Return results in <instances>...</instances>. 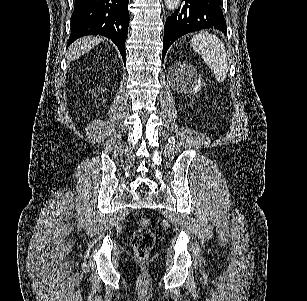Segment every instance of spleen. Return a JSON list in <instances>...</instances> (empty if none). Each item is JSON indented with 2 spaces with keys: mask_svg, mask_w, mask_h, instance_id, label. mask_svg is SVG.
Instances as JSON below:
<instances>
[{
  "mask_svg": "<svg viewBox=\"0 0 307 301\" xmlns=\"http://www.w3.org/2000/svg\"><path fill=\"white\" fill-rule=\"evenodd\" d=\"M191 44L207 66L213 70L218 82H223L228 72V60L222 40L216 34L198 32L192 36Z\"/></svg>",
  "mask_w": 307,
  "mask_h": 301,
  "instance_id": "spleen-1",
  "label": "spleen"
}]
</instances>
